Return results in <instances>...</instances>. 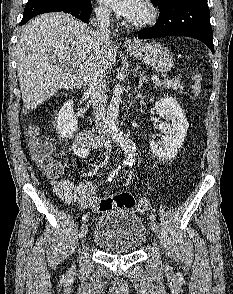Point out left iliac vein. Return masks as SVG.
<instances>
[{
  "label": "left iliac vein",
  "mask_w": 233,
  "mask_h": 294,
  "mask_svg": "<svg viewBox=\"0 0 233 294\" xmlns=\"http://www.w3.org/2000/svg\"><path fill=\"white\" fill-rule=\"evenodd\" d=\"M150 227H151V230L154 232V233H158L159 231V227L157 225V223L154 221V220H151L150 222Z\"/></svg>",
  "instance_id": "4c4485c4"
}]
</instances>
